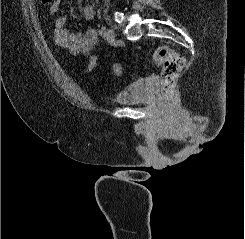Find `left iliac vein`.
I'll return each instance as SVG.
<instances>
[{
    "label": "left iliac vein",
    "mask_w": 245,
    "mask_h": 239,
    "mask_svg": "<svg viewBox=\"0 0 245 239\" xmlns=\"http://www.w3.org/2000/svg\"><path fill=\"white\" fill-rule=\"evenodd\" d=\"M105 38L107 41L112 42L114 40V31L112 28H108L105 32Z\"/></svg>",
    "instance_id": "1"
}]
</instances>
